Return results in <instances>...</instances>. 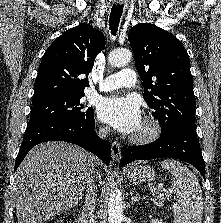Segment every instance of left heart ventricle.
Wrapping results in <instances>:
<instances>
[{
	"mask_svg": "<svg viewBox=\"0 0 221 223\" xmlns=\"http://www.w3.org/2000/svg\"><path fill=\"white\" fill-rule=\"evenodd\" d=\"M143 126L141 125L140 128L138 129L137 133L142 130Z\"/></svg>",
	"mask_w": 221,
	"mask_h": 223,
	"instance_id": "left-heart-ventricle-1",
	"label": "left heart ventricle"
}]
</instances>
